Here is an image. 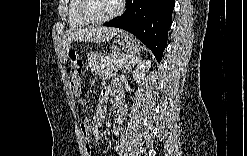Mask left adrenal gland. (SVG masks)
I'll return each instance as SVG.
<instances>
[{
  "label": "left adrenal gland",
  "instance_id": "obj_1",
  "mask_svg": "<svg viewBox=\"0 0 247 156\" xmlns=\"http://www.w3.org/2000/svg\"><path fill=\"white\" fill-rule=\"evenodd\" d=\"M141 59L139 56H132L130 60L125 64L123 67V72L125 73L127 70L131 69V66H134L138 63H140Z\"/></svg>",
  "mask_w": 247,
  "mask_h": 156
}]
</instances>
